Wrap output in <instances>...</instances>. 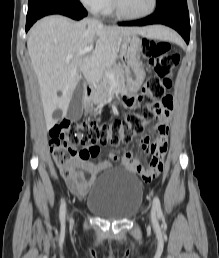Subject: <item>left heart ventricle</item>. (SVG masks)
Returning a JSON list of instances; mask_svg holds the SVG:
<instances>
[{
	"mask_svg": "<svg viewBox=\"0 0 219 258\" xmlns=\"http://www.w3.org/2000/svg\"><path fill=\"white\" fill-rule=\"evenodd\" d=\"M153 0H119L120 6L127 14H142L152 6Z\"/></svg>",
	"mask_w": 219,
	"mask_h": 258,
	"instance_id": "left-heart-ventricle-1",
	"label": "left heart ventricle"
}]
</instances>
